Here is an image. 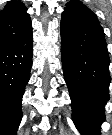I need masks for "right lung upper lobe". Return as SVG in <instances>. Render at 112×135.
<instances>
[{"label": "right lung upper lobe", "mask_w": 112, "mask_h": 135, "mask_svg": "<svg viewBox=\"0 0 112 135\" xmlns=\"http://www.w3.org/2000/svg\"><path fill=\"white\" fill-rule=\"evenodd\" d=\"M31 28L27 7L21 1H8L0 10V49L20 39Z\"/></svg>", "instance_id": "cb5924a9"}]
</instances>
